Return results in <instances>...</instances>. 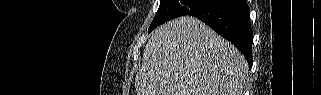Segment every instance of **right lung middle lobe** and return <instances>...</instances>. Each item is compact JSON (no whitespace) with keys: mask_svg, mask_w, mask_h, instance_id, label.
Masks as SVG:
<instances>
[{"mask_svg":"<svg viewBox=\"0 0 321 95\" xmlns=\"http://www.w3.org/2000/svg\"><path fill=\"white\" fill-rule=\"evenodd\" d=\"M211 0H160V6L148 32L162 23L183 15H189Z\"/></svg>","mask_w":321,"mask_h":95,"instance_id":"1","label":"right lung middle lobe"}]
</instances>
